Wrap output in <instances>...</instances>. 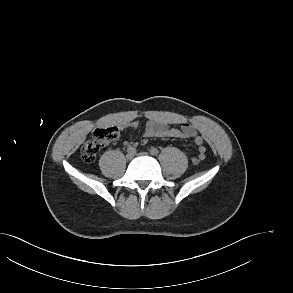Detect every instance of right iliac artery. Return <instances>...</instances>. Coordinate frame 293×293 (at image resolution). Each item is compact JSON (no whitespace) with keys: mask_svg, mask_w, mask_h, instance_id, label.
Wrapping results in <instances>:
<instances>
[{"mask_svg":"<svg viewBox=\"0 0 293 293\" xmlns=\"http://www.w3.org/2000/svg\"><path fill=\"white\" fill-rule=\"evenodd\" d=\"M135 151H136L135 148L132 146L128 147V149H127L128 153H135Z\"/></svg>","mask_w":293,"mask_h":293,"instance_id":"82829eb1","label":"right iliac artery"}]
</instances>
